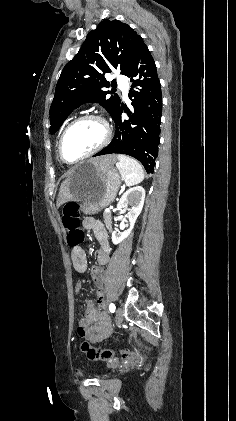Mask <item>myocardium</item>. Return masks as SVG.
<instances>
[{"mask_svg": "<svg viewBox=\"0 0 236 421\" xmlns=\"http://www.w3.org/2000/svg\"><path fill=\"white\" fill-rule=\"evenodd\" d=\"M88 120L97 121V122H99V123H101L103 125L105 134H104V138H103L102 142L97 147H95L93 150H91L90 152H88L87 154H85V155H83V156H81V157H79L77 159H74V160H67L66 157H65V155H64V141H65L66 135L68 134V132L70 131V129L72 127H74L75 125H77L80 122L88 121ZM111 137H112V129H111V126H110V124L108 123V121L104 117H102L100 115H93V114L81 116V117L75 119L74 121H72L64 129L63 133L61 134V137H60V140H59V144H58L59 157H60V159H61V161L63 163H66V164H74V163H77V162H79V161H81L83 159H86V158H88V157L96 154L97 152L101 151L102 149H104L109 144V142L111 140Z\"/></svg>", "mask_w": 236, "mask_h": 421, "instance_id": "obj_1", "label": "myocardium"}]
</instances>
